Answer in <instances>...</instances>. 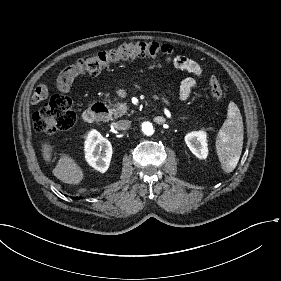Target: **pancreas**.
<instances>
[{
	"instance_id": "obj_1",
	"label": "pancreas",
	"mask_w": 281,
	"mask_h": 281,
	"mask_svg": "<svg viewBox=\"0 0 281 281\" xmlns=\"http://www.w3.org/2000/svg\"><path fill=\"white\" fill-rule=\"evenodd\" d=\"M164 99L169 100V99L166 98V97H164ZM166 105H167V104H166ZM168 106H171V104L168 105ZM128 108H129V107H128L127 103H123V104L120 103V104L114 109V112H113L114 118H120V117H122L124 114H127Z\"/></svg>"
}]
</instances>
